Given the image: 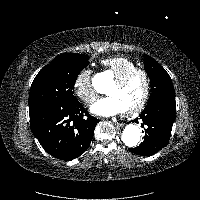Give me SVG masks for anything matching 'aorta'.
<instances>
[{
	"label": "aorta",
	"mask_w": 200,
	"mask_h": 200,
	"mask_svg": "<svg viewBox=\"0 0 200 200\" xmlns=\"http://www.w3.org/2000/svg\"><path fill=\"white\" fill-rule=\"evenodd\" d=\"M97 80V77L94 81ZM141 131L138 126L134 124L127 125L122 133V141L128 147H135L140 141Z\"/></svg>",
	"instance_id": "1"
}]
</instances>
